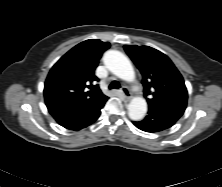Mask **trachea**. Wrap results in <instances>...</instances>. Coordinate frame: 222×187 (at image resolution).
Listing matches in <instances>:
<instances>
[{
  "label": "trachea",
  "instance_id": "3493384b",
  "mask_svg": "<svg viewBox=\"0 0 222 187\" xmlns=\"http://www.w3.org/2000/svg\"><path fill=\"white\" fill-rule=\"evenodd\" d=\"M120 87L121 86L117 81H112L111 84L109 85V89H119Z\"/></svg>",
  "mask_w": 222,
  "mask_h": 187
}]
</instances>
